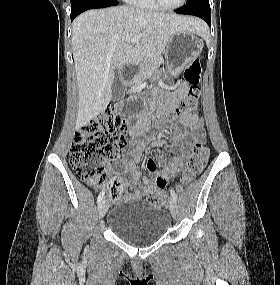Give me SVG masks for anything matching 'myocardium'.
<instances>
[{
  "mask_svg": "<svg viewBox=\"0 0 280 285\" xmlns=\"http://www.w3.org/2000/svg\"><path fill=\"white\" fill-rule=\"evenodd\" d=\"M187 0H181L179 2V4L175 5V6H166L162 3L161 0H153V2L159 7V9H163L166 11H174V10H178L181 7H183L185 5Z\"/></svg>",
  "mask_w": 280,
  "mask_h": 285,
  "instance_id": "f54148a6",
  "label": "myocardium"
}]
</instances>
